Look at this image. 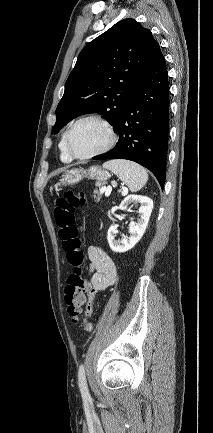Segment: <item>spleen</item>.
I'll list each match as a JSON object with an SVG mask.
<instances>
[{
	"mask_svg": "<svg viewBox=\"0 0 213 433\" xmlns=\"http://www.w3.org/2000/svg\"><path fill=\"white\" fill-rule=\"evenodd\" d=\"M103 167L125 183L131 192H137L144 187L148 180L146 170L137 163L127 160H111L103 164Z\"/></svg>",
	"mask_w": 213,
	"mask_h": 433,
	"instance_id": "spleen-1",
	"label": "spleen"
}]
</instances>
